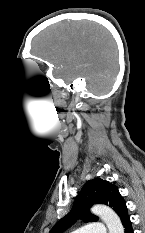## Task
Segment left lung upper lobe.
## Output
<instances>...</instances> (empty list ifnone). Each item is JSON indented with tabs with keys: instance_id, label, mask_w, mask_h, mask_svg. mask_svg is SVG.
I'll return each instance as SVG.
<instances>
[{
	"instance_id": "1",
	"label": "left lung upper lobe",
	"mask_w": 145,
	"mask_h": 233,
	"mask_svg": "<svg viewBox=\"0 0 145 233\" xmlns=\"http://www.w3.org/2000/svg\"><path fill=\"white\" fill-rule=\"evenodd\" d=\"M95 203L110 206L120 217L123 226L130 220L126 202L118 188L106 180L93 179L84 184L70 213L59 220L49 233H63L78 218L85 222L97 221L98 217L89 212L90 207Z\"/></svg>"
}]
</instances>
